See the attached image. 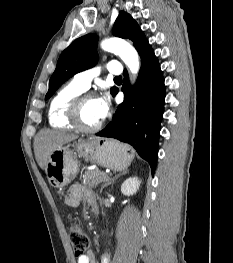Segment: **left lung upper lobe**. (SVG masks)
<instances>
[{
	"mask_svg": "<svg viewBox=\"0 0 233 263\" xmlns=\"http://www.w3.org/2000/svg\"><path fill=\"white\" fill-rule=\"evenodd\" d=\"M117 37L130 39L134 43V47L141 52L143 47L148 43L144 33L136 23V21L126 12L121 11L118 15L112 30ZM97 36L88 34L73 41L59 57L57 67L50 78L49 90L45 99H49L54 92L70 77L78 72L93 67L97 60L96 52ZM117 88H111V94Z\"/></svg>",
	"mask_w": 233,
	"mask_h": 263,
	"instance_id": "5c2ea615",
	"label": "left lung upper lobe"
}]
</instances>
